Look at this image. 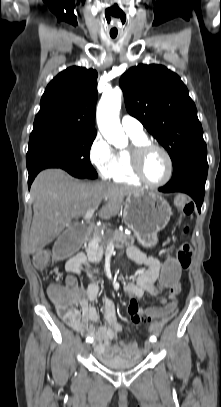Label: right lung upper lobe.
Here are the masks:
<instances>
[{"mask_svg":"<svg viewBox=\"0 0 221 407\" xmlns=\"http://www.w3.org/2000/svg\"><path fill=\"white\" fill-rule=\"evenodd\" d=\"M97 72L69 67L46 87L33 130L61 128L96 133Z\"/></svg>","mask_w":221,"mask_h":407,"instance_id":"right-lung-upper-lobe-1","label":"right lung upper lobe"}]
</instances>
